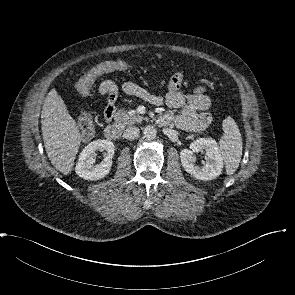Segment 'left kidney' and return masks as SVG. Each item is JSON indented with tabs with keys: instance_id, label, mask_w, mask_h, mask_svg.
Wrapping results in <instances>:
<instances>
[{
	"instance_id": "left-kidney-1",
	"label": "left kidney",
	"mask_w": 295,
	"mask_h": 295,
	"mask_svg": "<svg viewBox=\"0 0 295 295\" xmlns=\"http://www.w3.org/2000/svg\"><path fill=\"white\" fill-rule=\"evenodd\" d=\"M206 151L207 163L204 166L195 165V152ZM181 163L184 169L199 180H212L218 177L223 169V158L217 142L212 138H199L190 144V149L180 152Z\"/></svg>"
}]
</instances>
